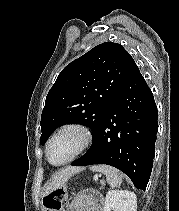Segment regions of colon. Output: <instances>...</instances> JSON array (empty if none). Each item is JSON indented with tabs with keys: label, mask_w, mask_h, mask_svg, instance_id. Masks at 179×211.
Returning a JSON list of instances; mask_svg holds the SVG:
<instances>
[{
	"label": "colon",
	"mask_w": 179,
	"mask_h": 211,
	"mask_svg": "<svg viewBox=\"0 0 179 211\" xmlns=\"http://www.w3.org/2000/svg\"><path fill=\"white\" fill-rule=\"evenodd\" d=\"M67 201V193L63 189H57L44 198L47 211H60Z\"/></svg>",
	"instance_id": "obj_1"
}]
</instances>
